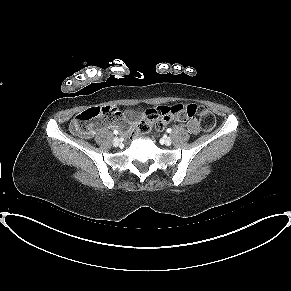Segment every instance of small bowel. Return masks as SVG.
Wrapping results in <instances>:
<instances>
[{"instance_id": "small-bowel-1", "label": "small bowel", "mask_w": 291, "mask_h": 291, "mask_svg": "<svg viewBox=\"0 0 291 291\" xmlns=\"http://www.w3.org/2000/svg\"><path fill=\"white\" fill-rule=\"evenodd\" d=\"M151 110H153V109H148V110L142 112L138 119L146 118ZM176 119L180 122H185L187 130L191 134L196 135L199 132V130H200L199 122L194 117H188L186 115H177ZM137 124H138V122L135 120L133 125L129 126V125L125 124L122 121V119L117 118V119H114L113 122L109 126L110 127H118L123 131H129L131 129H135Z\"/></svg>"}]
</instances>
